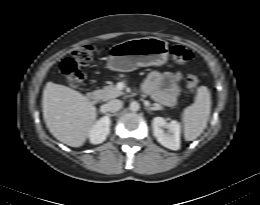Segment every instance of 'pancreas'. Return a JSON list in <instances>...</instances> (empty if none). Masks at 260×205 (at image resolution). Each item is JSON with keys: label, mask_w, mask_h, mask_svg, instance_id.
<instances>
[{"label": "pancreas", "mask_w": 260, "mask_h": 205, "mask_svg": "<svg viewBox=\"0 0 260 205\" xmlns=\"http://www.w3.org/2000/svg\"><path fill=\"white\" fill-rule=\"evenodd\" d=\"M96 92L102 101H108L124 94L114 85L105 86L102 89L97 90Z\"/></svg>", "instance_id": "obj_1"}]
</instances>
